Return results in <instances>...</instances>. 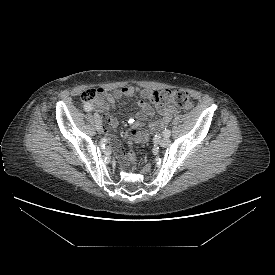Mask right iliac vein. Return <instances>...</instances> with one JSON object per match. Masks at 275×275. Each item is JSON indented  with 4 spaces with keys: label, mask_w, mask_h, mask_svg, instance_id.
I'll list each match as a JSON object with an SVG mask.
<instances>
[{
    "label": "right iliac vein",
    "mask_w": 275,
    "mask_h": 275,
    "mask_svg": "<svg viewBox=\"0 0 275 275\" xmlns=\"http://www.w3.org/2000/svg\"><path fill=\"white\" fill-rule=\"evenodd\" d=\"M95 124L98 132H102V120L98 114H95Z\"/></svg>",
    "instance_id": "obj_1"
}]
</instances>
